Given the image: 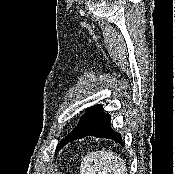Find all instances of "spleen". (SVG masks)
<instances>
[{"instance_id": "spleen-1", "label": "spleen", "mask_w": 175, "mask_h": 174, "mask_svg": "<svg viewBox=\"0 0 175 174\" xmlns=\"http://www.w3.org/2000/svg\"><path fill=\"white\" fill-rule=\"evenodd\" d=\"M81 174H127L125 161L112 151L89 152L80 166Z\"/></svg>"}]
</instances>
